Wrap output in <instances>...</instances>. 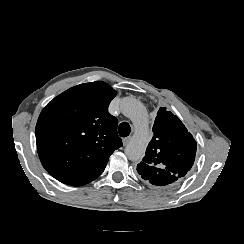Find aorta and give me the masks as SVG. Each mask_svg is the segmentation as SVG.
I'll return each instance as SVG.
<instances>
[{"label": "aorta", "instance_id": "obj_1", "mask_svg": "<svg viewBox=\"0 0 244 244\" xmlns=\"http://www.w3.org/2000/svg\"><path fill=\"white\" fill-rule=\"evenodd\" d=\"M123 114L128 117L136 128L135 134L125 147V154L131 161L143 158L148 143V117L145 107L134 98H125L121 103Z\"/></svg>", "mask_w": 244, "mask_h": 244}]
</instances>
